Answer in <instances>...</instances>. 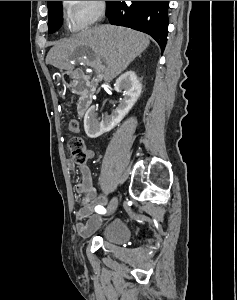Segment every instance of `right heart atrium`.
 <instances>
[{
	"label": "right heart atrium",
	"mask_w": 237,
	"mask_h": 300,
	"mask_svg": "<svg viewBox=\"0 0 237 300\" xmlns=\"http://www.w3.org/2000/svg\"><path fill=\"white\" fill-rule=\"evenodd\" d=\"M64 16L72 31H81L99 22L106 10L105 1H63Z\"/></svg>",
	"instance_id": "right-heart-atrium-1"
}]
</instances>
